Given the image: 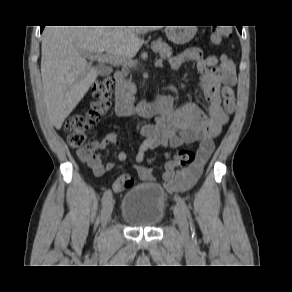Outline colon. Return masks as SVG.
Listing matches in <instances>:
<instances>
[{
    "instance_id": "obj_1",
    "label": "colon",
    "mask_w": 292,
    "mask_h": 292,
    "mask_svg": "<svg viewBox=\"0 0 292 292\" xmlns=\"http://www.w3.org/2000/svg\"><path fill=\"white\" fill-rule=\"evenodd\" d=\"M229 25H219L213 29L211 43L219 45L223 39L231 35ZM93 100L89 107L80 113L69 117L64 125L67 140L70 146L77 148L78 156L83 161H88L94 154L95 146L86 142L88 131L96 122L108 113L113 100V84L109 78H104L94 84L92 88ZM223 106L228 114H232L236 108L234 91L230 86L222 89ZM196 154L189 149H182L172 158L181 166L190 165L195 161ZM121 184L124 188L132 187L134 179L130 175L121 176Z\"/></svg>"
}]
</instances>
